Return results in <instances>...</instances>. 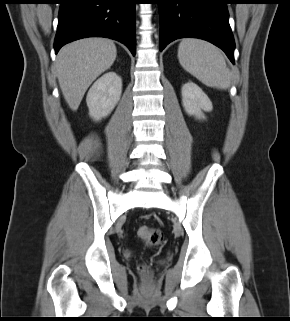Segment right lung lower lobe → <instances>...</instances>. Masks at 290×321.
<instances>
[{
  "label": "right lung lower lobe",
  "mask_w": 290,
  "mask_h": 321,
  "mask_svg": "<svg viewBox=\"0 0 290 321\" xmlns=\"http://www.w3.org/2000/svg\"><path fill=\"white\" fill-rule=\"evenodd\" d=\"M55 53L74 40L107 37L125 44L135 55L136 0H61Z\"/></svg>",
  "instance_id": "1"
}]
</instances>
